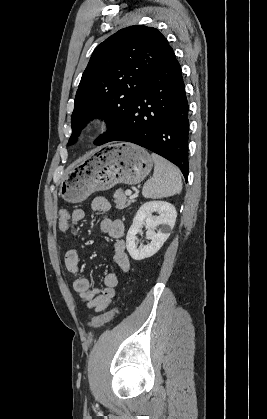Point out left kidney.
Listing matches in <instances>:
<instances>
[{"instance_id": "5707ae66", "label": "left kidney", "mask_w": 267, "mask_h": 419, "mask_svg": "<svg viewBox=\"0 0 267 419\" xmlns=\"http://www.w3.org/2000/svg\"><path fill=\"white\" fill-rule=\"evenodd\" d=\"M153 212H158L159 215L153 216ZM176 217V209L169 202L150 201L141 205L126 236V247L130 256L134 260H143L157 253L170 236ZM143 223H146V237L151 242L138 247L136 235L140 232ZM158 226H161V228L155 232Z\"/></svg>"}]
</instances>
